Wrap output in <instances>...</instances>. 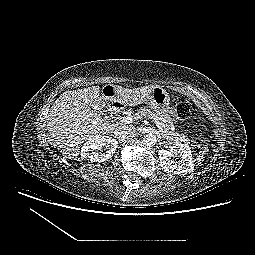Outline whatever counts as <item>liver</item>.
Listing matches in <instances>:
<instances>
[{"mask_svg": "<svg viewBox=\"0 0 255 255\" xmlns=\"http://www.w3.org/2000/svg\"><path fill=\"white\" fill-rule=\"evenodd\" d=\"M153 88L152 85L135 89L115 87L111 97L101 96L99 86L62 93L48 115L50 141L67 154L77 156L81 144L114 131L115 125L101 116L105 102L139 105L147 101Z\"/></svg>", "mask_w": 255, "mask_h": 255, "instance_id": "obj_1", "label": "liver"}]
</instances>
